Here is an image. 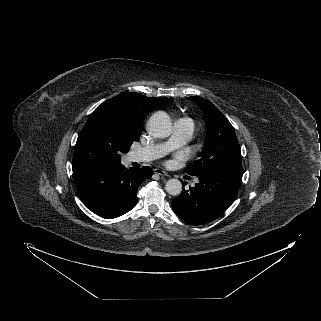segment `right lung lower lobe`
<instances>
[{
    "mask_svg": "<svg viewBox=\"0 0 321 321\" xmlns=\"http://www.w3.org/2000/svg\"><path fill=\"white\" fill-rule=\"evenodd\" d=\"M152 176L150 167L126 169L121 163L73 170L81 201L95 214L116 218L137 203V189Z\"/></svg>",
    "mask_w": 321,
    "mask_h": 321,
    "instance_id": "1",
    "label": "right lung lower lobe"
}]
</instances>
